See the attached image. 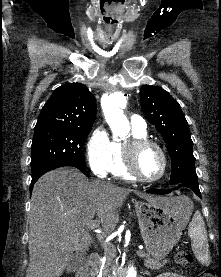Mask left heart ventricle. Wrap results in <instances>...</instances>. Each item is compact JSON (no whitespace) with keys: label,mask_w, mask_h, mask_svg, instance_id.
Instances as JSON below:
<instances>
[{"label":"left heart ventricle","mask_w":221,"mask_h":277,"mask_svg":"<svg viewBox=\"0 0 221 277\" xmlns=\"http://www.w3.org/2000/svg\"><path fill=\"white\" fill-rule=\"evenodd\" d=\"M137 167L144 177L150 179L157 177L162 170L159 152L153 147L144 149L138 156Z\"/></svg>","instance_id":"b2bd125f"}]
</instances>
